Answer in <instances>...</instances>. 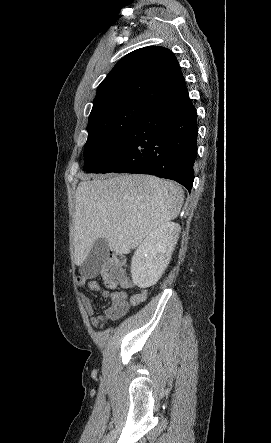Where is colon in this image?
I'll return each instance as SVG.
<instances>
[{"label":"colon","instance_id":"1","mask_svg":"<svg viewBox=\"0 0 271 443\" xmlns=\"http://www.w3.org/2000/svg\"><path fill=\"white\" fill-rule=\"evenodd\" d=\"M101 276L105 284L111 288L130 285L124 269V258L120 255L111 254L106 258Z\"/></svg>","mask_w":271,"mask_h":443}]
</instances>
